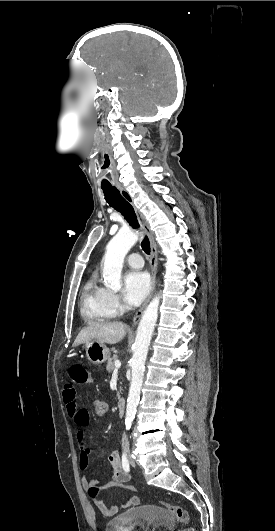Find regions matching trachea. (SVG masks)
I'll use <instances>...</instances> for the list:
<instances>
[{"mask_svg":"<svg viewBox=\"0 0 275 531\" xmlns=\"http://www.w3.org/2000/svg\"><path fill=\"white\" fill-rule=\"evenodd\" d=\"M105 199L107 203L117 211H119L127 222L133 228H139V223L131 204L121 196L120 191L115 186H103L102 187ZM141 247L146 254H150V243L149 239L145 237L141 243Z\"/></svg>","mask_w":275,"mask_h":531,"instance_id":"obj_1","label":"trachea"}]
</instances>
